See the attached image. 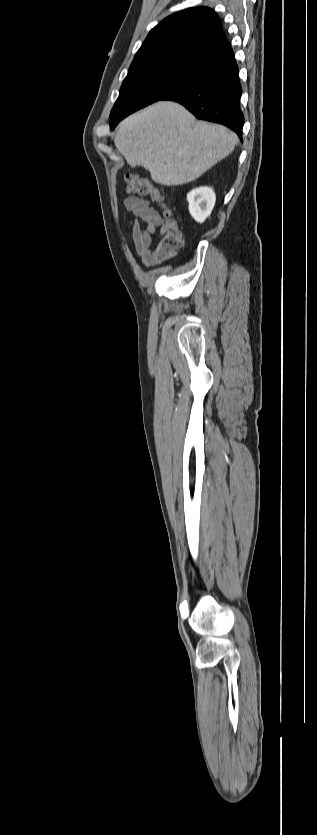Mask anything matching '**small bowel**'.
Wrapping results in <instances>:
<instances>
[{"label": "small bowel", "mask_w": 317, "mask_h": 835, "mask_svg": "<svg viewBox=\"0 0 317 835\" xmlns=\"http://www.w3.org/2000/svg\"><path fill=\"white\" fill-rule=\"evenodd\" d=\"M124 205L136 217L131 226V237L143 263L148 267L163 263L166 258L157 248H152L153 237L165 231V222L160 213L150 206L147 199L137 196L127 197Z\"/></svg>", "instance_id": "obj_1"}]
</instances>
